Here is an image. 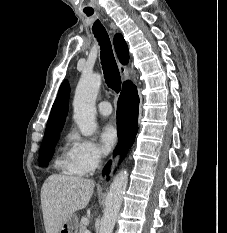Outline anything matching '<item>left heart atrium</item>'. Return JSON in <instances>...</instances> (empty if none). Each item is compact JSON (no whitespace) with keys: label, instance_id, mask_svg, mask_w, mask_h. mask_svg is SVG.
Here are the masks:
<instances>
[{"label":"left heart atrium","instance_id":"1","mask_svg":"<svg viewBox=\"0 0 227 233\" xmlns=\"http://www.w3.org/2000/svg\"><path fill=\"white\" fill-rule=\"evenodd\" d=\"M101 141L106 153L110 152L118 141V132L113 124H107L101 132Z\"/></svg>","mask_w":227,"mask_h":233}]
</instances>
